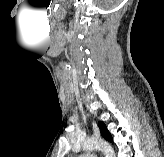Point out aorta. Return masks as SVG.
<instances>
[{"label": "aorta", "instance_id": "1", "mask_svg": "<svg viewBox=\"0 0 164 157\" xmlns=\"http://www.w3.org/2000/svg\"><path fill=\"white\" fill-rule=\"evenodd\" d=\"M83 149L85 151L100 150L105 157H115L114 149L106 141L101 139L88 140L84 143Z\"/></svg>", "mask_w": 164, "mask_h": 157}]
</instances>
